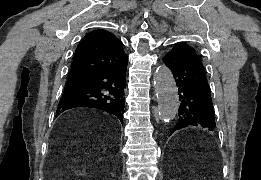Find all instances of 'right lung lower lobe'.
<instances>
[{
    "label": "right lung lower lobe",
    "instance_id": "98d812e1",
    "mask_svg": "<svg viewBox=\"0 0 261 180\" xmlns=\"http://www.w3.org/2000/svg\"><path fill=\"white\" fill-rule=\"evenodd\" d=\"M126 68L127 62L92 72L78 88L63 93L56 115L76 107H90L114 114L122 121Z\"/></svg>",
    "mask_w": 261,
    "mask_h": 180
}]
</instances>
